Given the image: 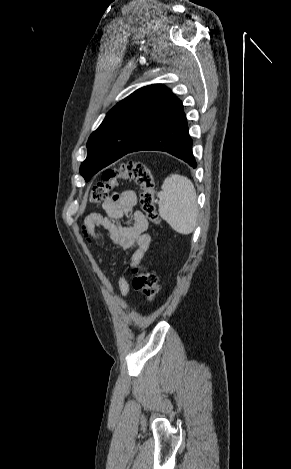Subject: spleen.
<instances>
[{
    "instance_id": "spleen-1",
    "label": "spleen",
    "mask_w": 291,
    "mask_h": 469,
    "mask_svg": "<svg viewBox=\"0 0 291 469\" xmlns=\"http://www.w3.org/2000/svg\"><path fill=\"white\" fill-rule=\"evenodd\" d=\"M158 197L159 215L172 229L184 235L195 230L198 204L190 179L179 174L170 175L164 180Z\"/></svg>"
}]
</instances>
